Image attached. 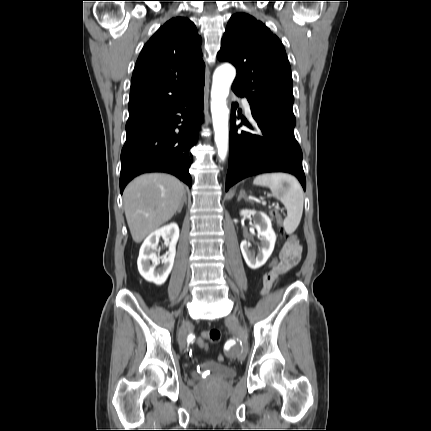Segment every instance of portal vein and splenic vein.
<instances>
[{
	"instance_id": "1",
	"label": "portal vein and splenic vein",
	"mask_w": 431,
	"mask_h": 431,
	"mask_svg": "<svg viewBox=\"0 0 431 431\" xmlns=\"http://www.w3.org/2000/svg\"><path fill=\"white\" fill-rule=\"evenodd\" d=\"M262 204H263V205H265V204H266V202H265V201H262Z\"/></svg>"
}]
</instances>
